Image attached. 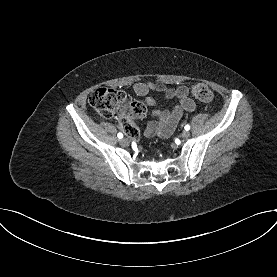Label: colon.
<instances>
[{"instance_id":"obj_1","label":"colon","mask_w":277,"mask_h":277,"mask_svg":"<svg viewBox=\"0 0 277 277\" xmlns=\"http://www.w3.org/2000/svg\"><path fill=\"white\" fill-rule=\"evenodd\" d=\"M192 95L201 101H209L212 98L211 90L205 84H197L192 87ZM89 103L95 112L103 118L112 117L118 110L121 111V125L125 132L134 136L137 134V126L134 119L142 118L146 114V107L141 102H127L125 94L117 89L98 88L89 95Z\"/></svg>"}]
</instances>
